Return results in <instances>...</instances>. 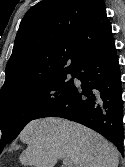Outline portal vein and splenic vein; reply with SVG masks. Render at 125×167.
Instances as JSON below:
<instances>
[{
  "label": "portal vein and splenic vein",
  "mask_w": 125,
  "mask_h": 167,
  "mask_svg": "<svg viewBox=\"0 0 125 167\" xmlns=\"http://www.w3.org/2000/svg\"><path fill=\"white\" fill-rule=\"evenodd\" d=\"M63 163H64L65 165H68L69 167H73L71 161H70L68 158H65V159L63 160Z\"/></svg>",
  "instance_id": "obj_1"
}]
</instances>
